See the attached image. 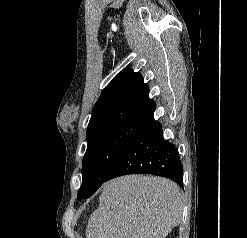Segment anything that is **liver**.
<instances>
[{
  "mask_svg": "<svg viewBox=\"0 0 247 238\" xmlns=\"http://www.w3.org/2000/svg\"><path fill=\"white\" fill-rule=\"evenodd\" d=\"M180 187L162 177L127 175L103 185L86 238H166L182 219Z\"/></svg>",
  "mask_w": 247,
  "mask_h": 238,
  "instance_id": "1",
  "label": "liver"
}]
</instances>
